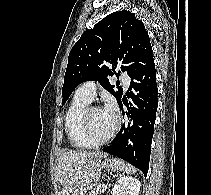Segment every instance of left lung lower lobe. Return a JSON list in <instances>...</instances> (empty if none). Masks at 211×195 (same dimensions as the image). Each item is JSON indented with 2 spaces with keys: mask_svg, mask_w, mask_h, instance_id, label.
<instances>
[{
  "mask_svg": "<svg viewBox=\"0 0 211 195\" xmlns=\"http://www.w3.org/2000/svg\"><path fill=\"white\" fill-rule=\"evenodd\" d=\"M131 78L127 95L132 99V103L130 102L129 106L124 96L119 104L121 109L123 104L128 108L125 123L111 144L103 148V151L138 167L146 176L158 104L154 59H150Z\"/></svg>",
  "mask_w": 211,
  "mask_h": 195,
  "instance_id": "0a47b994",
  "label": "left lung lower lobe"
}]
</instances>
